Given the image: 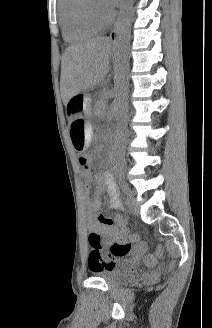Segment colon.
I'll use <instances>...</instances> for the list:
<instances>
[{"mask_svg": "<svg viewBox=\"0 0 212 328\" xmlns=\"http://www.w3.org/2000/svg\"><path fill=\"white\" fill-rule=\"evenodd\" d=\"M80 170H92L93 164L91 163L90 153H80L78 157ZM91 252L88 259V264L96 266L100 269H111L114 267L112 256L125 257L133 253H143L147 245L141 241L138 235H132L131 241L120 239L111 245V254H105L102 251L101 238L96 232H91L88 237ZM163 250L158 247L154 254L147 255L144 262L148 266L154 265L158 259L162 258ZM172 263L170 267H173Z\"/></svg>", "mask_w": 212, "mask_h": 328, "instance_id": "5ec220e1", "label": "colon"}]
</instances>
